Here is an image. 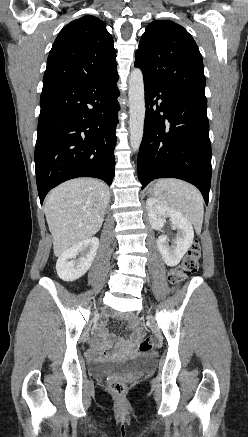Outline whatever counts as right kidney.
<instances>
[{"label": "right kidney", "mask_w": 248, "mask_h": 437, "mask_svg": "<svg viewBox=\"0 0 248 437\" xmlns=\"http://www.w3.org/2000/svg\"><path fill=\"white\" fill-rule=\"evenodd\" d=\"M99 247L96 237L88 238L63 252L56 263L58 276L64 281H75L91 267ZM81 256L77 258V256Z\"/></svg>", "instance_id": "right-kidney-1"}]
</instances>
